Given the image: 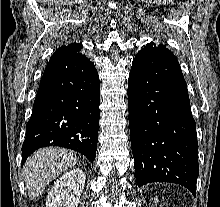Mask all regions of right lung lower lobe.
I'll use <instances>...</instances> for the list:
<instances>
[{
	"label": "right lung lower lobe",
	"mask_w": 220,
	"mask_h": 207,
	"mask_svg": "<svg viewBox=\"0 0 220 207\" xmlns=\"http://www.w3.org/2000/svg\"><path fill=\"white\" fill-rule=\"evenodd\" d=\"M100 83L94 63L81 53L50 58L26 125L22 164L35 150L65 147L93 161L100 118Z\"/></svg>",
	"instance_id": "98d812e1"
}]
</instances>
